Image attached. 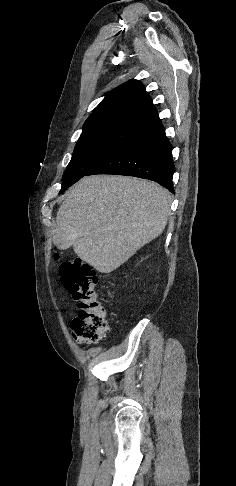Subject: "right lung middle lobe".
I'll return each mask as SVG.
<instances>
[{"label":"right lung middle lobe","instance_id":"right-lung-middle-lobe-1","mask_svg":"<svg viewBox=\"0 0 236 486\" xmlns=\"http://www.w3.org/2000/svg\"><path fill=\"white\" fill-rule=\"evenodd\" d=\"M140 125L120 124L83 132L75 146L62 182L60 194L127 143Z\"/></svg>","mask_w":236,"mask_h":486}]
</instances>
